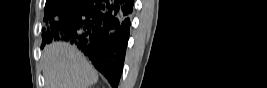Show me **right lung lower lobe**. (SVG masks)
I'll use <instances>...</instances> for the list:
<instances>
[{"mask_svg": "<svg viewBox=\"0 0 267 88\" xmlns=\"http://www.w3.org/2000/svg\"><path fill=\"white\" fill-rule=\"evenodd\" d=\"M133 0H76L49 21L45 43L64 39L89 57L111 83L119 84L128 44ZM42 44V47L45 45Z\"/></svg>", "mask_w": 267, "mask_h": 88, "instance_id": "right-lung-lower-lobe-1", "label": "right lung lower lobe"}]
</instances>
